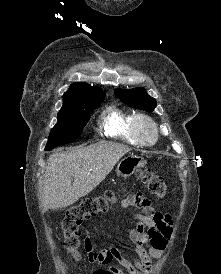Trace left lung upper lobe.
<instances>
[{"instance_id": "left-lung-upper-lobe-1", "label": "left lung upper lobe", "mask_w": 221, "mask_h": 274, "mask_svg": "<svg viewBox=\"0 0 221 274\" xmlns=\"http://www.w3.org/2000/svg\"><path fill=\"white\" fill-rule=\"evenodd\" d=\"M116 95L130 107L139 108L151 112L156 107V100L150 97L143 88H134L115 91Z\"/></svg>"}]
</instances>
